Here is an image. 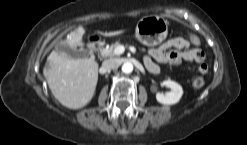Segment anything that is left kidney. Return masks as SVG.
Listing matches in <instances>:
<instances>
[{
	"instance_id": "obj_1",
	"label": "left kidney",
	"mask_w": 247,
	"mask_h": 145,
	"mask_svg": "<svg viewBox=\"0 0 247 145\" xmlns=\"http://www.w3.org/2000/svg\"><path fill=\"white\" fill-rule=\"evenodd\" d=\"M163 85L170 88L171 91L167 92L165 95L162 93L156 94V99L159 103L164 105L176 104L183 94V89L180 84L172 80L163 81Z\"/></svg>"
}]
</instances>
